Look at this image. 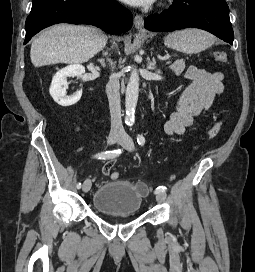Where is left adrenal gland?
I'll return each mask as SVG.
<instances>
[{"label":"left adrenal gland","mask_w":255,"mask_h":272,"mask_svg":"<svg viewBox=\"0 0 255 272\" xmlns=\"http://www.w3.org/2000/svg\"><path fill=\"white\" fill-rule=\"evenodd\" d=\"M150 68H151L152 70H154L155 72L159 73V74H162V73H163V72H161V70L156 69V60H155L154 57L152 58V62L150 63Z\"/></svg>","instance_id":"obj_1"}]
</instances>
